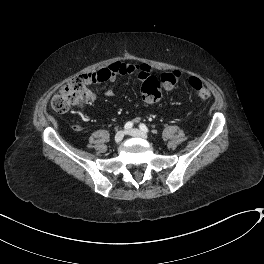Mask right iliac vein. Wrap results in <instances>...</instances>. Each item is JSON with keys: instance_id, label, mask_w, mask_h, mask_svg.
Segmentation results:
<instances>
[{"instance_id": "obj_1", "label": "right iliac vein", "mask_w": 264, "mask_h": 264, "mask_svg": "<svg viewBox=\"0 0 264 264\" xmlns=\"http://www.w3.org/2000/svg\"><path fill=\"white\" fill-rule=\"evenodd\" d=\"M124 135H125L124 131L117 132L116 135H115V138H114L115 142L116 143H120L123 140Z\"/></svg>"}]
</instances>
